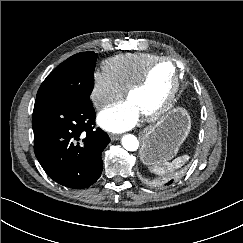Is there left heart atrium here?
<instances>
[{"label":"left heart atrium","instance_id":"39dd6f15","mask_svg":"<svg viewBox=\"0 0 243 243\" xmlns=\"http://www.w3.org/2000/svg\"><path fill=\"white\" fill-rule=\"evenodd\" d=\"M140 115V110L130 100H125L103 110L98 122L109 131L121 132L132 128Z\"/></svg>","mask_w":243,"mask_h":243}]
</instances>
